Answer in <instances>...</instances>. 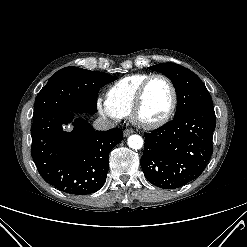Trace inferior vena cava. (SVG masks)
<instances>
[{"label":"inferior vena cava","instance_id":"1","mask_svg":"<svg viewBox=\"0 0 247 247\" xmlns=\"http://www.w3.org/2000/svg\"><path fill=\"white\" fill-rule=\"evenodd\" d=\"M93 127L96 130H109L111 128H114L115 124L112 120L106 117H99L94 121Z\"/></svg>","mask_w":247,"mask_h":247}]
</instances>
